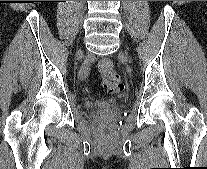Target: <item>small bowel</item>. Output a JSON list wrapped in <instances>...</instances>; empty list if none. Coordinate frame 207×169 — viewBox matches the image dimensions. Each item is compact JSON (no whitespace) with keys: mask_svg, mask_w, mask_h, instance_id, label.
<instances>
[{"mask_svg":"<svg viewBox=\"0 0 207 169\" xmlns=\"http://www.w3.org/2000/svg\"><path fill=\"white\" fill-rule=\"evenodd\" d=\"M82 73L83 74H86L87 73V68L86 67L82 69Z\"/></svg>","mask_w":207,"mask_h":169,"instance_id":"small-bowel-1","label":"small bowel"}]
</instances>
